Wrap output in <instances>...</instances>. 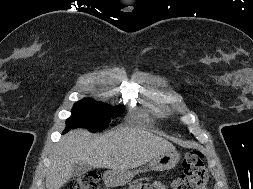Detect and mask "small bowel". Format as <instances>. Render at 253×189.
Returning <instances> with one entry per match:
<instances>
[{
  "mask_svg": "<svg viewBox=\"0 0 253 189\" xmlns=\"http://www.w3.org/2000/svg\"><path fill=\"white\" fill-rule=\"evenodd\" d=\"M130 189H167L166 185L160 181H156L153 184H136L133 185Z\"/></svg>",
  "mask_w": 253,
  "mask_h": 189,
  "instance_id": "1",
  "label": "small bowel"
}]
</instances>
